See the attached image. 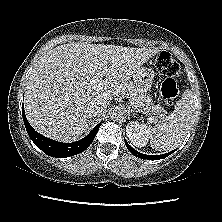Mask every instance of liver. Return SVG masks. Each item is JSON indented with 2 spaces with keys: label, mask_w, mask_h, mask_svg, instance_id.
I'll use <instances>...</instances> for the list:
<instances>
[{
  "label": "liver",
  "mask_w": 222,
  "mask_h": 222,
  "mask_svg": "<svg viewBox=\"0 0 222 222\" xmlns=\"http://www.w3.org/2000/svg\"><path fill=\"white\" fill-rule=\"evenodd\" d=\"M159 51L89 43L48 51L26 85L24 108L30 125L57 141L77 140L91 124V109L123 94L136 71Z\"/></svg>",
  "instance_id": "1"
}]
</instances>
